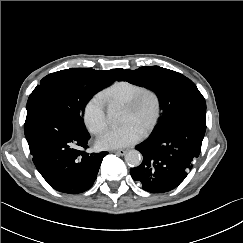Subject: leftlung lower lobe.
<instances>
[{
  "mask_svg": "<svg viewBox=\"0 0 243 243\" xmlns=\"http://www.w3.org/2000/svg\"><path fill=\"white\" fill-rule=\"evenodd\" d=\"M205 131L206 103L184 109L162 131L135 147L143 162L130 170L132 178L151 193L173 190L199 156Z\"/></svg>",
  "mask_w": 243,
  "mask_h": 243,
  "instance_id": "obj_1",
  "label": "left lung lower lobe"
}]
</instances>
